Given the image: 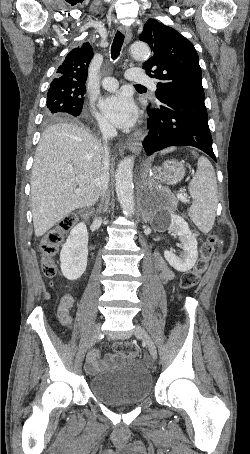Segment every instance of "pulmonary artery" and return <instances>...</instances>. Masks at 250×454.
I'll list each match as a JSON object with an SVG mask.
<instances>
[{"instance_id":"obj_1","label":"pulmonary artery","mask_w":250,"mask_h":454,"mask_svg":"<svg viewBox=\"0 0 250 454\" xmlns=\"http://www.w3.org/2000/svg\"><path fill=\"white\" fill-rule=\"evenodd\" d=\"M126 79L135 81L141 84L149 85L153 91H156V83L146 73L141 70L132 68L127 71L125 75ZM102 87L108 91H114L119 87V81L113 77H106L102 81Z\"/></svg>"}]
</instances>
